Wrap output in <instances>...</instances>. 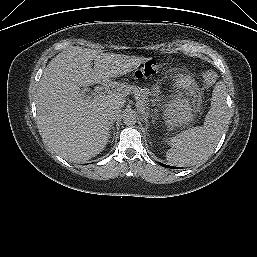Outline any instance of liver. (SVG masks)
<instances>
[{
  "label": "liver",
  "mask_w": 257,
  "mask_h": 257,
  "mask_svg": "<svg viewBox=\"0 0 257 257\" xmlns=\"http://www.w3.org/2000/svg\"><path fill=\"white\" fill-rule=\"evenodd\" d=\"M146 61L147 58L80 47L56 55L45 68L37 89L38 127L44 141L69 162H84L102 152L111 124L105 114L125 105L118 88L121 85L112 79ZM97 83L117 91L100 99L84 98L80 87Z\"/></svg>",
  "instance_id": "6515ba94"
}]
</instances>
